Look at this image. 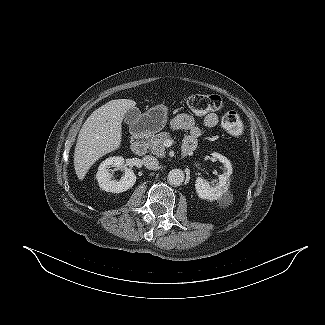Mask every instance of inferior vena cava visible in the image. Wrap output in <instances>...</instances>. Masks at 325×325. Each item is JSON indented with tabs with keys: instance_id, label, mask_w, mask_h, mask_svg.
Returning a JSON list of instances; mask_svg holds the SVG:
<instances>
[{
	"instance_id": "obj_1",
	"label": "inferior vena cava",
	"mask_w": 325,
	"mask_h": 325,
	"mask_svg": "<svg viewBox=\"0 0 325 325\" xmlns=\"http://www.w3.org/2000/svg\"><path fill=\"white\" fill-rule=\"evenodd\" d=\"M143 163L144 166L149 170H155L159 166L158 160L155 157L149 155L143 157Z\"/></svg>"
}]
</instances>
